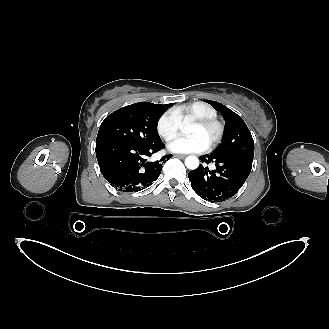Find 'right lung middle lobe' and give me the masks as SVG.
I'll use <instances>...</instances> for the list:
<instances>
[{"label":"right lung middle lobe","mask_w":329,"mask_h":329,"mask_svg":"<svg viewBox=\"0 0 329 329\" xmlns=\"http://www.w3.org/2000/svg\"><path fill=\"white\" fill-rule=\"evenodd\" d=\"M173 104L138 102L123 107L102 122L96 141L115 140L139 145H149L161 139L157 123L161 114Z\"/></svg>","instance_id":"right-lung-middle-lobe-1"}]
</instances>
